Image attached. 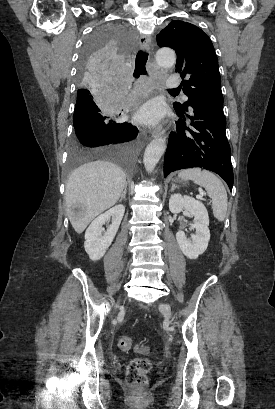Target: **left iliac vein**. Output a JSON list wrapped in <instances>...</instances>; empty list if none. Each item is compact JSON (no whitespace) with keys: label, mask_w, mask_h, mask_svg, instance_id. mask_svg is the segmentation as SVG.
I'll use <instances>...</instances> for the list:
<instances>
[{"label":"left iliac vein","mask_w":275,"mask_h":409,"mask_svg":"<svg viewBox=\"0 0 275 409\" xmlns=\"http://www.w3.org/2000/svg\"><path fill=\"white\" fill-rule=\"evenodd\" d=\"M160 311L162 312V314L164 315L165 319L167 321L171 320V308L169 305L166 304H161L159 307Z\"/></svg>","instance_id":"obj_1"}]
</instances>
